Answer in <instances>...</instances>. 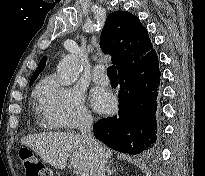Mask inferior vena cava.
Masks as SVG:
<instances>
[{
    "instance_id": "602c4592",
    "label": "inferior vena cava",
    "mask_w": 205,
    "mask_h": 176,
    "mask_svg": "<svg viewBox=\"0 0 205 176\" xmlns=\"http://www.w3.org/2000/svg\"><path fill=\"white\" fill-rule=\"evenodd\" d=\"M92 123L91 117L85 116L82 118L79 126L81 139L86 143L93 155L94 169L91 176H105L106 159L102 147L92 135Z\"/></svg>"
}]
</instances>
